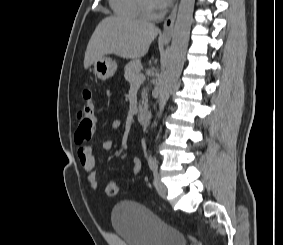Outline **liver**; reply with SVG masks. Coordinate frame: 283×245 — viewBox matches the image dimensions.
<instances>
[{"label":"liver","mask_w":283,"mask_h":245,"mask_svg":"<svg viewBox=\"0 0 283 245\" xmlns=\"http://www.w3.org/2000/svg\"><path fill=\"white\" fill-rule=\"evenodd\" d=\"M159 33L154 24L125 16L103 19L95 29L85 52L84 68L107 54L125 59L146 55L151 42Z\"/></svg>","instance_id":"6515ba94"}]
</instances>
